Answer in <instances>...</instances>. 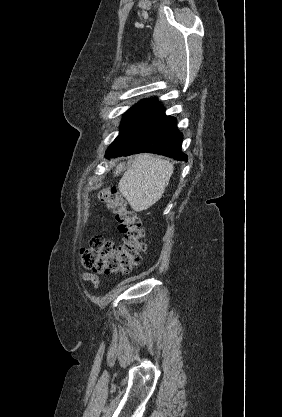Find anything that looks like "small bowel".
<instances>
[{
  "label": "small bowel",
  "mask_w": 282,
  "mask_h": 417,
  "mask_svg": "<svg viewBox=\"0 0 282 417\" xmlns=\"http://www.w3.org/2000/svg\"><path fill=\"white\" fill-rule=\"evenodd\" d=\"M79 276H80L81 280H83L85 282H88L92 285V287H93L92 292H94L98 288V286L100 284V278L96 274L81 271L79 273Z\"/></svg>",
  "instance_id": "obj_1"
}]
</instances>
